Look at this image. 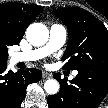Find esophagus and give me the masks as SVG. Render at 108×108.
Here are the masks:
<instances>
[{"instance_id":"obj_1","label":"esophagus","mask_w":108,"mask_h":108,"mask_svg":"<svg viewBox=\"0 0 108 108\" xmlns=\"http://www.w3.org/2000/svg\"><path fill=\"white\" fill-rule=\"evenodd\" d=\"M43 78H51L52 74L51 73H48V72H43L42 74Z\"/></svg>"}]
</instances>
